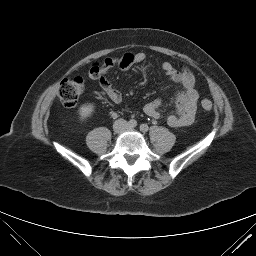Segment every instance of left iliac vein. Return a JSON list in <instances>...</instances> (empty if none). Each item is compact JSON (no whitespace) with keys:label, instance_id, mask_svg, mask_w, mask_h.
<instances>
[{"label":"left iliac vein","instance_id":"left-iliac-vein-1","mask_svg":"<svg viewBox=\"0 0 256 256\" xmlns=\"http://www.w3.org/2000/svg\"><path fill=\"white\" fill-rule=\"evenodd\" d=\"M127 130L132 131L133 128L132 127H127Z\"/></svg>","mask_w":256,"mask_h":256}]
</instances>
